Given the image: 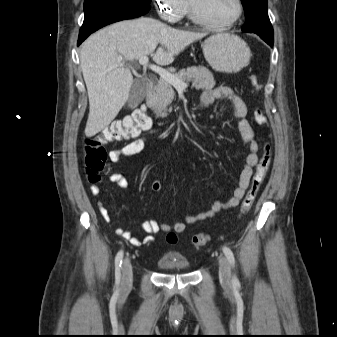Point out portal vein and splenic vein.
Wrapping results in <instances>:
<instances>
[{
    "instance_id": "obj_1",
    "label": "portal vein and splenic vein",
    "mask_w": 337,
    "mask_h": 337,
    "mask_svg": "<svg viewBox=\"0 0 337 337\" xmlns=\"http://www.w3.org/2000/svg\"><path fill=\"white\" fill-rule=\"evenodd\" d=\"M139 63L144 67H149L152 71L159 74L161 78L173 85L178 92H183L188 87V84L184 83L182 80L178 79L175 75L171 74L164 68L149 64V58L147 56L140 57ZM118 65L123 66L122 58L119 59Z\"/></svg>"
}]
</instances>
